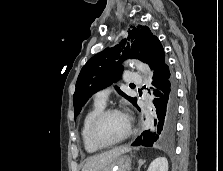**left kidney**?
Listing matches in <instances>:
<instances>
[{"label":"left kidney","mask_w":223,"mask_h":171,"mask_svg":"<svg viewBox=\"0 0 223 171\" xmlns=\"http://www.w3.org/2000/svg\"><path fill=\"white\" fill-rule=\"evenodd\" d=\"M147 171H168V161L165 157L153 160Z\"/></svg>","instance_id":"5707ae66"}]
</instances>
